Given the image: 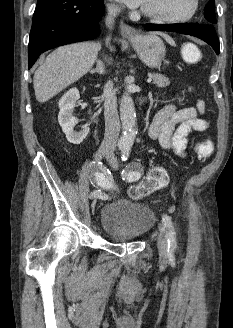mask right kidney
Instances as JSON below:
<instances>
[{"label": "right kidney", "instance_id": "ca27d5eb", "mask_svg": "<svg viewBox=\"0 0 233 328\" xmlns=\"http://www.w3.org/2000/svg\"><path fill=\"white\" fill-rule=\"evenodd\" d=\"M80 98L77 88L67 91L59 100L58 122L62 127L67 140L73 144H80L88 135L89 127L84 126L79 132L74 130L77 119L73 116L76 101Z\"/></svg>", "mask_w": 233, "mask_h": 328}]
</instances>
